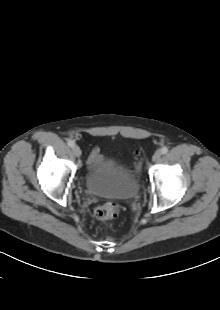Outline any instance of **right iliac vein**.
Instances as JSON below:
<instances>
[{
  "label": "right iliac vein",
  "mask_w": 220,
  "mask_h": 310,
  "mask_svg": "<svg viewBox=\"0 0 220 310\" xmlns=\"http://www.w3.org/2000/svg\"><path fill=\"white\" fill-rule=\"evenodd\" d=\"M72 152L75 155V157H80L81 156V149L77 145H74L72 147Z\"/></svg>",
  "instance_id": "1"
}]
</instances>
